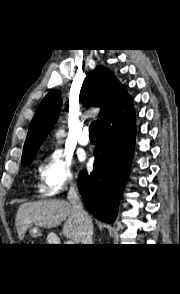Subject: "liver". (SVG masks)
I'll use <instances>...</instances> for the list:
<instances>
[{
  "label": "liver",
  "instance_id": "obj_1",
  "mask_svg": "<svg viewBox=\"0 0 180 294\" xmlns=\"http://www.w3.org/2000/svg\"><path fill=\"white\" fill-rule=\"evenodd\" d=\"M64 220L66 221L63 225V234L79 243L78 221L71 203L66 200L51 199L23 203L18 208L15 225L18 237L22 240L26 231L33 225L54 228Z\"/></svg>",
  "mask_w": 180,
  "mask_h": 294
}]
</instances>
